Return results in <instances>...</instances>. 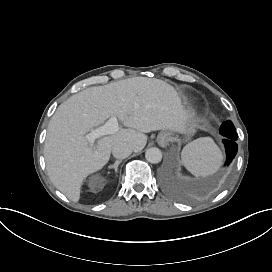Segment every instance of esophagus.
Listing matches in <instances>:
<instances>
[{"label": "esophagus", "mask_w": 272, "mask_h": 272, "mask_svg": "<svg viewBox=\"0 0 272 272\" xmlns=\"http://www.w3.org/2000/svg\"><path fill=\"white\" fill-rule=\"evenodd\" d=\"M161 145H162L163 147H165V146L168 145V141L166 140V138H163V139L161 140Z\"/></svg>", "instance_id": "1"}]
</instances>
